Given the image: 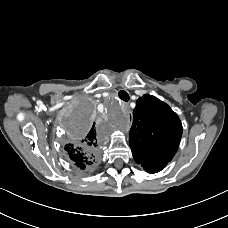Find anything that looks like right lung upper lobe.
Here are the masks:
<instances>
[{"instance_id":"obj_1","label":"right lung upper lobe","mask_w":228,"mask_h":228,"mask_svg":"<svg viewBox=\"0 0 228 228\" xmlns=\"http://www.w3.org/2000/svg\"><path fill=\"white\" fill-rule=\"evenodd\" d=\"M97 146L96 134L93 129L88 133L85 139L69 143L65 146L69 157L76 165L84 169L85 165L93 164L95 156L93 150Z\"/></svg>"}]
</instances>
